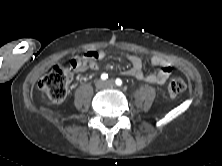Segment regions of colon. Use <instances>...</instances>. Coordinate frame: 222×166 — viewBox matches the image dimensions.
I'll return each instance as SVG.
<instances>
[{"label": "colon", "instance_id": "1", "mask_svg": "<svg viewBox=\"0 0 222 166\" xmlns=\"http://www.w3.org/2000/svg\"><path fill=\"white\" fill-rule=\"evenodd\" d=\"M71 72L65 65L55 66L47 75L43 76L38 83L39 88L46 93L54 104H61L67 98L68 83ZM186 89V83L180 77L173 76L168 82V91L175 96Z\"/></svg>", "mask_w": 222, "mask_h": 166}]
</instances>
